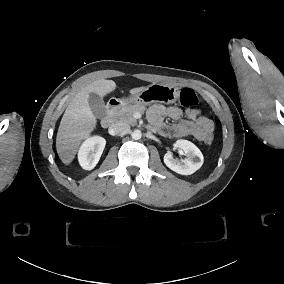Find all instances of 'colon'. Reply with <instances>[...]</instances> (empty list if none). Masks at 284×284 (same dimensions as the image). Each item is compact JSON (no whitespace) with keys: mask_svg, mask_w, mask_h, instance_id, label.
<instances>
[{"mask_svg":"<svg viewBox=\"0 0 284 284\" xmlns=\"http://www.w3.org/2000/svg\"><path fill=\"white\" fill-rule=\"evenodd\" d=\"M181 98L185 102V105L194 106L197 103V98L192 95V91L189 88H184L181 91ZM213 136H208L206 138V143H212Z\"/></svg>","mask_w":284,"mask_h":284,"instance_id":"colon-1","label":"colon"}]
</instances>
